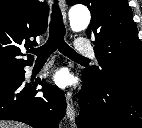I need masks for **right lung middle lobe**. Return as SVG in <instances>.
I'll return each mask as SVG.
<instances>
[{
    "mask_svg": "<svg viewBox=\"0 0 142 128\" xmlns=\"http://www.w3.org/2000/svg\"><path fill=\"white\" fill-rule=\"evenodd\" d=\"M23 72L24 69L0 72V87L13 84Z\"/></svg>",
    "mask_w": 142,
    "mask_h": 128,
    "instance_id": "1",
    "label": "right lung middle lobe"
}]
</instances>
